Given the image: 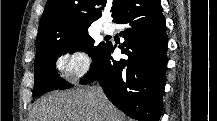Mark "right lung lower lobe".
I'll return each instance as SVG.
<instances>
[{
    "mask_svg": "<svg viewBox=\"0 0 217 121\" xmlns=\"http://www.w3.org/2000/svg\"><path fill=\"white\" fill-rule=\"evenodd\" d=\"M125 24L119 46L127 57L116 61L115 46L107 42L80 83L98 80L107 98L129 117L140 121H158L163 108L167 63L166 22L160 0H138L116 21Z\"/></svg>",
    "mask_w": 217,
    "mask_h": 121,
    "instance_id": "1",
    "label": "right lung lower lobe"
}]
</instances>
